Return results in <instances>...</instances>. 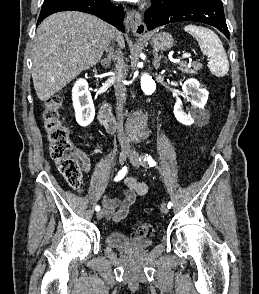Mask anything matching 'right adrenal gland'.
Segmentation results:
<instances>
[{
    "label": "right adrenal gland",
    "mask_w": 259,
    "mask_h": 294,
    "mask_svg": "<svg viewBox=\"0 0 259 294\" xmlns=\"http://www.w3.org/2000/svg\"><path fill=\"white\" fill-rule=\"evenodd\" d=\"M114 60V54L113 51L111 54L107 56V58H104L101 60V64L105 67L108 68L111 65V61Z\"/></svg>",
    "instance_id": "1"
}]
</instances>
